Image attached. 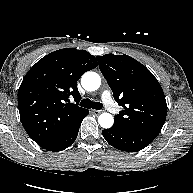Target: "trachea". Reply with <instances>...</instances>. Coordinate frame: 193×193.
<instances>
[{"label": "trachea", "instance_id": "1", "mask_svg": "<svg viewBox=\"0 0 193 193\" xmlns=\"http://www.w3.org/2000/svg\"><path fill=\"white\" fill-rule=\"evenodd\" d=\"M80 106L85 107V108H93V109H96V110H100L103 107V105L100 102H92L89 99L82 100L80 102Z\"/></svg>", "mask_w": 193, "mask_h": 193}]
</instances>
